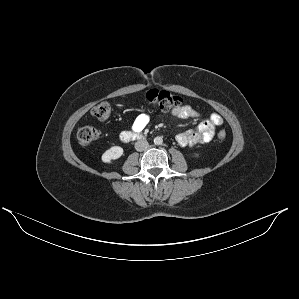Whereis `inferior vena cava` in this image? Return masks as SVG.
<instances>
[{
  "label": "inferior vena cava",
  "mask_w": 299,
  "mask_h": 299,
  "mask_svg": "<svg viewBox=\"0 0 299 299\" xmlns=\"http://www.w3.org/2000/svg\"><path fill=\"white\" fill-rule=\"evenodd\" d=\"M149 148V143L146 140H140L135 143V149L139 152L145 151Z\"/></svg>",
  "instance_id": "1"
}]
</instances>
